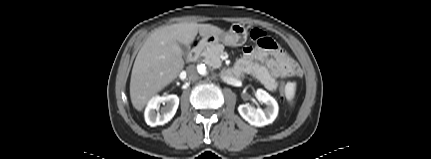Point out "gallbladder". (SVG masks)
<instances>
[{
	"instance_id": "gallbladder-1",
	"label": "gallbladder",
	"mask_w": 431,
	"mask_h": 159,
	"mask_svg": "<svg viewBox=\"0 0 431 159\" xmlns=\"http://www.w3.org/2000/svg\"><path fill=\"white\" fill-rule=\"evenodd\" d=\"M179 46H180L184 55H187L189 53V50H190L189 46H187L185 44H181V43H179Z\"/></svg>"
}]
</instances>
